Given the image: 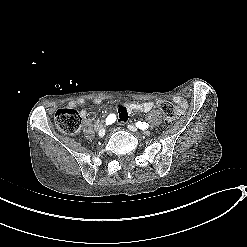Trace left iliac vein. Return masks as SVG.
<instances>
[{
  "label": "left iliac vein",
  "instance_id": "obj_1",
  "mask_svg": "<svg viewBox=\"0 0 247 247\" xmlns=\"http://www.w3.org/2000/svg\"><path fill=\"white\" fill-rule=\"evenodd\" d=\"M128 129L132 132H137L138 129L134 125H128Z\"/></svg>",
  "mask_w": 247,
  "mask_h": 247
}]
</instances>
